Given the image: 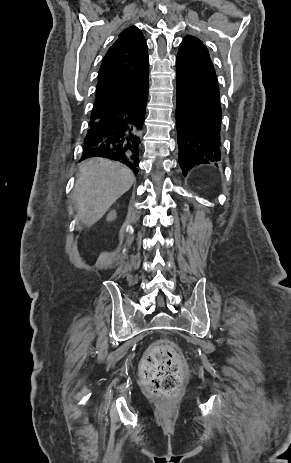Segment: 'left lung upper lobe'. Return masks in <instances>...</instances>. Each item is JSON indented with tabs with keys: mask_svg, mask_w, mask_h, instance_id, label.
Returning <instances> with one entry per match:
<instances>
[{
	"mask_svg": "<svg viewBox=\"0 0 291 463\" xmlns=\"http://www.w3.org/2000/svg\"><path fill=\"white\" fill-rule=\"evenodd\" d=\"M176 70L218 85L209 52L202 41L194 36L188 35L181 42L176 58Z\"/></svg>",
	"mask_w": 291,
	"mask_h": 463,
	"instance_id": "left-lung-upper-lobe-1",
	"label": "left lung upper lobe"
}]
</instances>
